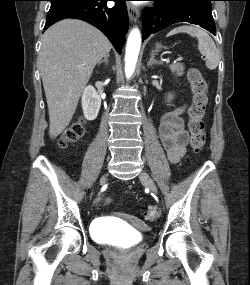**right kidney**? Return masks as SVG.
<instances>
[{
  "mask_svg": "<svg viewBox=\"0 0 250 285\" xmlns=\"http://www.w3.org/2000/svg\"><path fill=\"white\" fill-rule=\"evenodd\" d=\"M101 106L100 95L96 92L92 85H88L82 94V109L84 117L87 120H94L98 116V112Z\"/></svg>",
  "mask_w": 250,
  "mask_h": 285,
  "instance_id": "right-kidney-1",
  "label": "right kidney"
}]
</instances>
